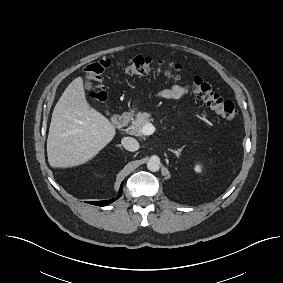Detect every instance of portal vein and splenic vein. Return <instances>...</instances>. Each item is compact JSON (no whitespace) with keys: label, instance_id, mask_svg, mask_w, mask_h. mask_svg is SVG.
<instances>
[{"label":"portal vein and splenic vein","instance_id":"18ae733b","mask_svg":"<svg viewBox=\"0 0 283 283\" xmlns=\"http://www.w3.org/2000/svg\"><path fill=\"white\" fill-rule=\"evenodd\" d=\"M155 130H156V128L154 127L153 124L147 123L142 127L141 132L144 135H151L155 132Z\"/></svg>","mask_w":283,"mask_h":283}]
</instances>
